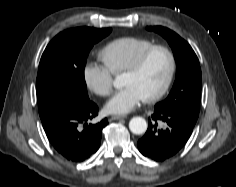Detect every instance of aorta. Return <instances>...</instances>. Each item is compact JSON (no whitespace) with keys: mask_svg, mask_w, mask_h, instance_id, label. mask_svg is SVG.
I'll return each instance as SVG.
<instances>
[{"mask_svg":"<svg viewBox=\"0 0 236 187\" xmlns=\"http://www.w3.org/2000/svg\"><path fill=\"white\" fill-rule=\"evenodd\" d=\"M114 87L116 88L121 87V83L118 78L114 81ZM147 127H148L147 122L142 117H133L129 122L130 131L137 135L145 133L147 130Z\"/></svg>","mask_w":236,"mask_h":187,"instance_id":"762f6f07","label":"aorta"}]
</instances>
